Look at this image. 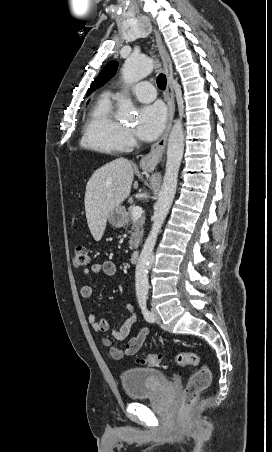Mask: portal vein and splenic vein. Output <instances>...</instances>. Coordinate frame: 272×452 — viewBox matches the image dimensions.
Listing matches in <instances>:
<instances>
[{
    "label": "portal vein and splenic vein",
    "mask_w": 272,
    "mask_h": 452,
    "mask_svg": "<svg viewBox=\"0 0 272 452\" xmlns=\"http://www.w3.org/2000/svg\"><path fill=\"white\" fill-rule=\"evenodd\" d=\"M143 213V210L140 206H134L132 208V217L133 219L140 218Z\"/></svg>",
    "instance_id": "portal-vein-and-splenic-vein-1"
}]
</instances>
